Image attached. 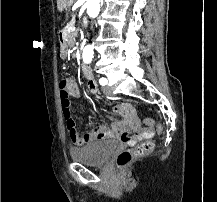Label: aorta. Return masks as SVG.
<instances>
[{
	"mask_svg": "<svg viewBox=\"0 0 217 202\" xmlns=\"http://www.w3.org/2000/svg\"><path fill=\"white\" fill-rule=\"evenodd\" d=\"M87 14L90 18H97L100 12V0H87L86 2ZM93 46H85L83 50V62L89 64L93 58Z\"/></svg>",
	"mask_w": 217,
	"mask_h": 202,
	"instance_id": "762f6f07",
	"label": "aorta"
}]
</instances>
